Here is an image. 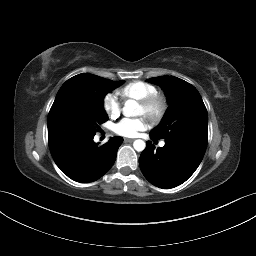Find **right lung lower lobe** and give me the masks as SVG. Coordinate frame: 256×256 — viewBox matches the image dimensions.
Listing matches in <instances>:
<instances>
[{
  "instance_id": "right-lung-lower-lobe-1",
  "label": "right lung lower lobe",
  "mask_w": 256,
  "mask_h": 256,
  "mask_svg": "<svg viewBox=\"0 0 256 256\" xmlns=\"http://www.w3.org/2000/svg\"><path fill=\"white\" fill-rule=\"evenodd\" d=\"M95 134L48 130L51 155L60 170L77 182H93L102 177L115 162L122 137H112L98 147Z\"/></svg>"
}]
</instances>
